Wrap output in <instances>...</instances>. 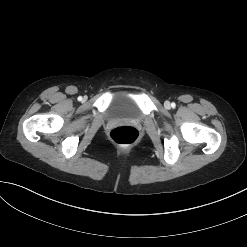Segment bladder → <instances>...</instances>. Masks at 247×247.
Returning a JSON list of instances; mask_svg holds the SVG:
<instances>
[{"label": "bladder", "mask_w": 247, "mask_h": 247, "mask_svg": "<svg viewBox=\"0 0 247 247\" xmlns=\"http://www.w3.org/2000/svg\"><path fill=\"white\" fill-rule=\"evenodd\" d=\"M107 116L111 119H139L142 112L135 93L126 89L115 92L108 105Z\"/></svg>", "instance_id": "bladder-1"}]
</instances>
